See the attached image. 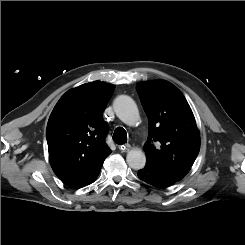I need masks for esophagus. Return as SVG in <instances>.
<instances>
[{
  "label": "esophagus",
  "instance_id": "obj_1",
  "mask_svg": "<svg viewBox=\"0 0 245 245\" xmlns=\"http://www.w3.org/2000/svg\"><path fill=\"white\" fill-rule=\"evenodd\" d=\"M121 151L125 152L128 151L131 148L130 144H123L118 147Z\"/></svg>",
  "mask_w": 245,
  "mask_h": 245
}]
</instances>
